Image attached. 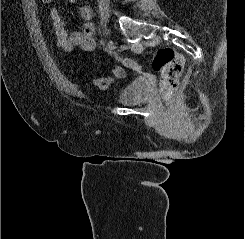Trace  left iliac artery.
Returning <instances> with one entry per match:
<instances>
[{
	"instance_id": "1",
	"label": "left iliac artery",
	"mask_w": 245,
	"mask_h": 239,
	"mask_svg": "<svg viewBox=\"0 0 245 239\" xmlns=\"http://www.w3.org/2000/svg\"><path fill=\"white\" fill-rule=\"evenodd\" d=\"M100 45L104 46L105 45V41L103 39L100 40Z\"/></svg>"
}]
</instances>
